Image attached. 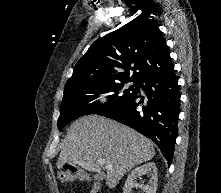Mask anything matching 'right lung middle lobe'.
<instances>
[{
	"label": "right lung middle lobe",
	"mask_w": 221,
	"mask_h": 193,
	"mask_svg": "<svg viewBox=\"0 0 221 193\" xmlns=\"http://www.w3.org/2000/svg\"><path fill=\"white\" fill-rule=\"evenodd\" d=\"M128 82L130 81L64 89L58 129L61 131L74 118L112 110L131 100L137 95L140 82L133 81L134 85L127 88L125 84ZM107 92H113L108 96L107 104L101 105L94 101L98 97L97 94Z\"/></svg>",
	"instance_id": "1"
}]
</instances>
